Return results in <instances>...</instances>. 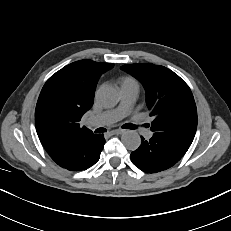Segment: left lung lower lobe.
<instances>
[{
  "label": "left lung lower lobe",
  "mask_w": 231,
  "mask_h": 231,
  "mask_svg": "<svg viewBox=\"0 0 231 231\" xmlns=\"http://www.w3.org/2000/svg\"><path fill=\"white\" fill-rule=\"evenodd\" d=\"M190 146L172 138L153 134L150 140H143L138 149L131 153V161L146 173L166 170L176 164Z\"/></svg>",
  "instance_id": "left-lung-lower-lobe-1"
}]
</instances>
